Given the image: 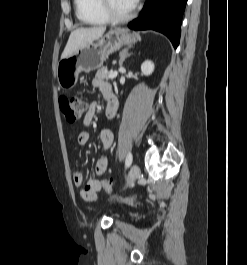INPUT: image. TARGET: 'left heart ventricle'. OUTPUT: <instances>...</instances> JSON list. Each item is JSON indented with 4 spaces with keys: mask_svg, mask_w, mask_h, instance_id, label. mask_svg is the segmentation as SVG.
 Wrapping results in <instances>:
<instances>
[{
    "mask_svg": "<svg viewBox=\"0 0 247 265\" xmlns=\"http://www.w3.org/2000/svg\"><path fill=\"white\" fill-rule=\"evenodd\" d=\"M109 4L112 6V8L115 10L118 14H126L131 9L132 6L126 1V0H108Z\"/></svg>",
    "mask_w": 247,
    "mask_h": 265,
    "instance_id": "obj_1",
    "label": "left heart ventricle"
}]
</instances>
